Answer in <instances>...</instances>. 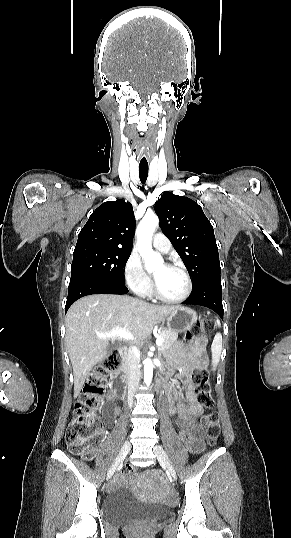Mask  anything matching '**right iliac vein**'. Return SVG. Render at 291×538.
Listing matches in <instances>:
<instances>
[{"instance_id": "right-iliac-vein-1", "label": "right iliac vein", "mask_w": 291, "mask_h": 538, "mask_svg": "<svg viewBox=\"0 0 291 538\" xmlns=\"http://www.w3.org/2000/svg\"><path fill=\"white\" fill-rule=\"evenodd\" d=\"M130 448H131V445H130L129 441L126 440L124 442L123 446L121 447L117 457L115 458L111 468L109 469L108 478H110L113 475V473L117 469L118 465L125 459L128 452L130 451Z\"/></svg>"}]
</instances>
